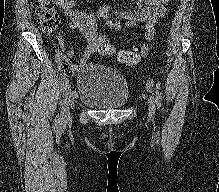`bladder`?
<instances>
[{"mask_svg": "<svg viewBox=\"0 0 219 192\" xmlns=\"http://www.w3.org/2000/svg\"><path fill=\"white\" fill-rule=\"evenodd\" d=\"M77 99L97 109L121 108L129 100V87L114 69L90 63L77 73Z\"/></svg>", "mask_w": 219, "mask_h": 192, "instance_id": "31cf9c89", "label": "bladder"}]
</instances>
